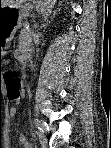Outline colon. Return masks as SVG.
Instances as JSON below:
<instances>
[{"mask_svg": "<svg viewBox=\"0 0 111 148\" xmlns=\"http://www.w3.org/2000/svg\"><path fill=\"white\" fill-rule=\"evenodd\" d=\"M4 86L6 88V95L10 101H16L20 98L21 81L19 77L12 71H3L0 73Z\"/></svg>", "mask_w": 111, "mask_h": 148, "instance_id": "obj_1", "label": "colon"}]
</instances>
